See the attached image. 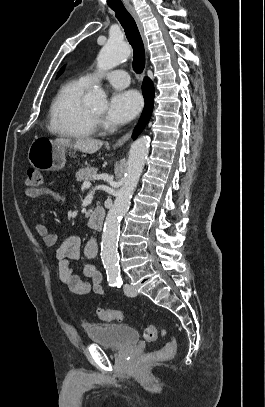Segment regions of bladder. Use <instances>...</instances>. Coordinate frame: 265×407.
Instances as JSON below:
<instances>
[{
    "label": "bladder",
    "instance_id": "1",
    "mask_svg": "<svg viewBox=\"0 0 265 407\" xmlns=\"http://www.w3.org/2000/svg\"><path fill=\"white\" fill-rule=\"evenodd\" d=\"M85 332L92 342L113 349H122L135 344L139 339L137 330L124 324H89L85 327Z\"/></svg>",
    "mask_w": 265,
    "mask_h": 407
}]
</instances>
